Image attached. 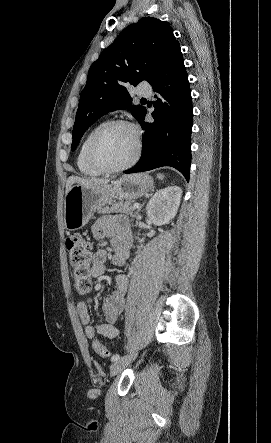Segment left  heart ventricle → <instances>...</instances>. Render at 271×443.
<instances>
[{
  "mask_svg": "<svg viewBox=\"0 0 271 443\" xmlns=\"http://www.w3.org/2000/svg\"><path fill=\"white\" fill-rule=\"evenodd\" d=\"M135 141L131 131L122 126L111 128L96 147L97 158L107 166L117 167L132 156Z\"/></svg>",
  "mask_w": 271,
  "mask_h": 443,
  "instance_id": "obj_1",
  "label": "left heart ventricle"
}]
</instances>
